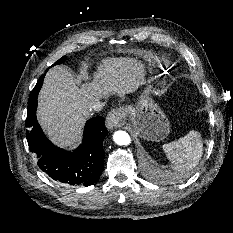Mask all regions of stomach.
I'll use <instances>...</instances> for the list:
<instances>
[{"label": "stomach", "instance_id": "0dacf381", "mask_svg": "<svg viewBox=\"0 0 233 233\" xmlns=\"http://www.w3.org/2000/svg\"><path fill=\"white\" fill-rule=\"evenodd\" d=\"M128 111L139 137L148 141H160L169 134L170 125L166 115L147 92L142 93Z\"/></svg>", "mask_w": 233, "mask_h": 233}]
</instances>
